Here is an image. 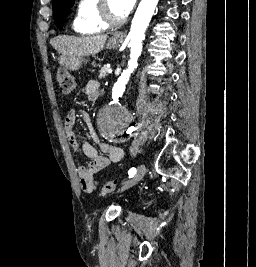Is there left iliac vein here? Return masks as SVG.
<instances>
[{"instance_id":"left-iliac-vein-1","label":"left iliac vein","mask_w":256,"mask_h":267,"mask_svg":"<svg viewBox=\"0 0 256 267\" xmlns=\"http://www.w3.org/2000/svg\"><path fill=\"white\" fill-rule=\"evenodd\" d=\"M146 172H147L146 166L144 164H140L137 168L136 174L133 176V178L131 180L126 182L121 187L120 191L128 189V188L132 187L133 185H135L136 183H138L141 180V178L146 174Z\"/></svg>"}]
</instances>
